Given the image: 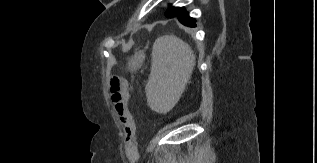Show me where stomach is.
I'll use <instances>...</instances> for the list:
<instances>
[{
	"instance_id": "0dacf381",
	"label": "stomach",
	"mask_w": 317,
	"mask_h": 163,
	"mask_svg": "<svg viewBox=\"0 0 317 163\" xmlns=\"http://www.w3.org/2000/svg\"><path fill=\"white\" fill-rule=\"evenodd\" d=\"M145 59V54L143 51L136 52L128 61L129 69H138Z\"/></svg>"
}]
</instances>
